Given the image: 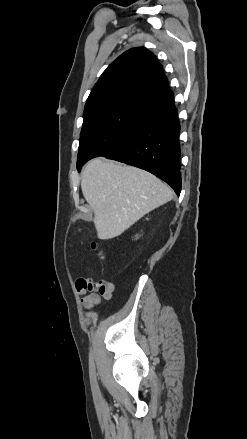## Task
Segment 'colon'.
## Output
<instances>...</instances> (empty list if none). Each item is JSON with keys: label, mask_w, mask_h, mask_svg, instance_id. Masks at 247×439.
<instances>
[{"label": "colon", "mask_w": 247, "mask_h": 439, "mask_svg": "<svg viewBox=\"0 0 247 439\" xmlns=\"http://www.w3.org/2000/svg\"><path fill=\"white\" fill-rule=\"evenodd\" d=\"M92 248H93L94 250H96V251L98 252V255H100V256L102 257V252L99 251V246H98L97 243H93V244H92Z\"/></svg>", "instance_id": "1"}]
</instances>
